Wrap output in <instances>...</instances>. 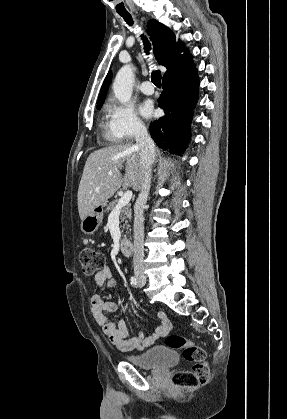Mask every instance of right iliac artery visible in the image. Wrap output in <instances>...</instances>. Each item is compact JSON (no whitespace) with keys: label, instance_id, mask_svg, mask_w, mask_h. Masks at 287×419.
Segmentation results:
<instances>
[{"label":"right iliac artery","instance_id":"82829eb1","mask_svg":"<svg viewBox=\"0 0 287 419\" xmlns=\"http://www.w3.org/2000/svg\"><path fill=\"white\" fill-rule=\"evenodd\" d=\"M130 283H131L132 286L137 287L138 286L137 278L136 277H131Z\"/></svg>","mask_w":287,"mask_h":419}]
</instances>
